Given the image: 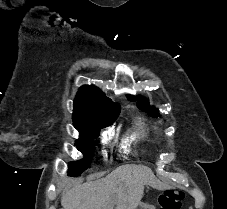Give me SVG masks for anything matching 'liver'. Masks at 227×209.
<instances>
[{
  "mask_svg": "<svg viewBox=\"0 0 227 209\" xmlns=\"http://www.w3.org/2000/svg\"><path fill=\"white\" fill-rule=\"evenodd\" d=\"M151 179L155 175L148 167L122 165L104 179L68 189L61 197V205L63 209H111L112 205H116L115 209H136L142 199L143 183Z\"/></svg>",
  "mask_w": 227,
  "mask_h": 209,
  "instance_id": "6515ba94",
  "label": "liver"
}]
</instances>
